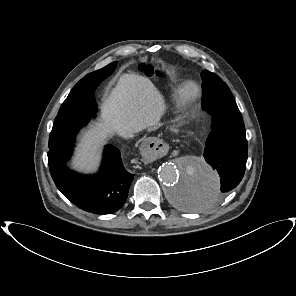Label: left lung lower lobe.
Here are the masks:
<instances>
[{"label":"left lung lower lobe","instance_id":"obj_1","mask_svg":"<svg viewBox=\"0 0 296 296\" xmlns=\"http://www.w3.org/2000/svg\"><path fill=\"white\" fill-rule=\"evenodd\" d=\"M202 109L212 115V130L203 156L218 172L221 187L215 193H205L187 178L177 191L178 203L187 210L208 208L234 189L244 176L248 156L245 126L235 100L202 99Z\"/></svg>","mask_w":296,"mask_h":296}]
</instances>
